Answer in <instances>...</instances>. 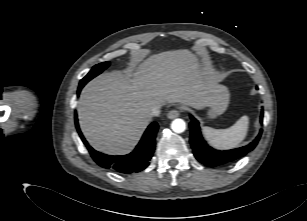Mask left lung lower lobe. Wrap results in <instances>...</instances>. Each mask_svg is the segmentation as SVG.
Wrapping results in <instances>:
<instances>
[{"mask_svg":"<svg viewBox=\"0 0 307 221\" xmlns=\"http://www.w3.org/2000/svg\"><path fill=\"white\" fill-rule=\"evenodd\" d=\"M190 117L192 120L190 122V143L193 149L194 156L198 161L209 167H216L228 164L240 159L256 147L261 137L262 130H260V133L255 138V140L247 146L232 150L218 151L207 145L201 135L198 121L193 116ZM262 119L263 112L260 116L261 123Z\"/></svg>","mask_w":307,"mask_h":221,"instance_id":"left-lung-lower-lobe-1","label":"left lung lower lobe"}]
</instances>
